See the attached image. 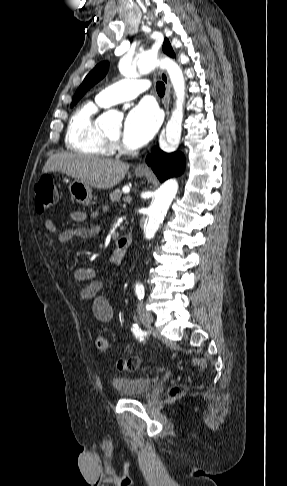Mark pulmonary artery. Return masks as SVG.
<instances>
[{
	"instance_id": "obj_1",
	"label": "pulmonary artery",
	"mask_w": 287,
	"mask_h": 486,
	"mask_svg": "<svg viewBox=\"0 0 287 486\" xmlns=\"http://www.w3.org/2000/svg\"><path fill=\"white\" fill-rule=\"evenodd\" d=\"M147 88L148 83L145 80L123 79L101 90L96 96V101L100 105L108 107L134 99Z\"/></svg>"
}]
</instances>
